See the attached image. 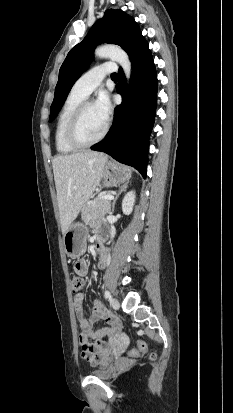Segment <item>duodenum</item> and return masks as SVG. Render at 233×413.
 I'll use <instances>...</instances> for the list:
<instances>
[{"label": "duodenum", "mask_w": 233, "mask_h": 413, "mask_svg": "<svg viewBox=\"0 0 233 413\" xmlns=\"http://www.w3.org/2000/svg\"><path fill=\"white\" fill-rule=\"evenodd\" d=\"M103 241H104L103 235H99L97 250H98V253H99V265L101 267L105 265V256H104L103 251H102V247H103L102 242Z\"/></svg>", "instance_id": "410a0bca"}]
</instances>
